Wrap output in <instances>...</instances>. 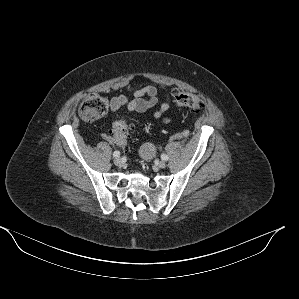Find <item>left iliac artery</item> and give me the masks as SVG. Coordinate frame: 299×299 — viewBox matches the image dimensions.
<instances>
[{
  "label": "left iliac artery",
  "instance_id": "left-iliac-artery-1",
  "mask_svg": "<svg viewBox=\"0 0 299 299\" xmlns=\"http://www.w3.org/2000/svg\"><path fill=\"white\" fill-rule=\"evenodd\" d=\"M161 159L164 161H167L169 159V157L166 154H162Z\"/></svg>",
  "mask_w": 299,
  "mask_h": 299
}]
</instances>
